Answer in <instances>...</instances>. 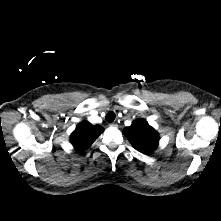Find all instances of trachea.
I'll use <instances>...</instances> for the list:
<instances>
[{"label":"trachea","instance_id":"3493384b","mask_svg":"<svg viewBox=\"0 0 221 221\" xmlns=\"http://www.w3.org/2000/svg\"><path fill=\"white\" fill-rule=\"evenodd\" d=\"M115 117H116L115 113L110 111L106 115V121L111 123V122H113L115 120Z\"/></svg>","mask_w":221,"mask_h":221}]
</instances>
